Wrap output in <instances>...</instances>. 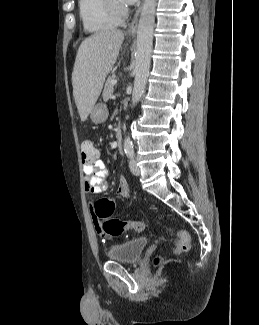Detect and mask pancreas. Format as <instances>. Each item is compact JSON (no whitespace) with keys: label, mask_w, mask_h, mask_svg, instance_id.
<instances>
[{"label":"pancreas","mask_w":259,"mask_h":325,"mask_svg":"<svg viewBox=\"0 0 259 325\" xmlns=\"http://www.w3.org/2000/svg\"><path fill=\"white\" fill-rule=\"evenodd\" d=\"M113 80V77H108L106 83H105V87H104V90H103V100L104 101H108L112 94H113V85L111 84V81Z\"/></svg>","instance_id":"obj_1"}]
</instances>
